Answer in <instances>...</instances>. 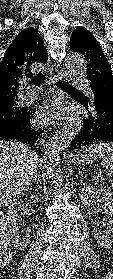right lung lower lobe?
Masks as SVG:
<instances>
[{
    "mask_svg": "<svg viewBox=\"0 0 113 279\" xmlns=\"http://www.w3.org/2000/svg\"><path fill=\"white\" fill-rule=\"evenodd\" d=\"M43 131L31 128L30 114L25 112L21 120L0 126V140H17L29 145L31 148L37 149L38 153H40L41 151L36 147L38 138Z\"/></svg>",
    "mask_w": 113,
    "mask_h": 279,
    "instance_id": "right-lung-lower-lobe-1",
    "label": "right lung lower lobe"
}]
</instances>
